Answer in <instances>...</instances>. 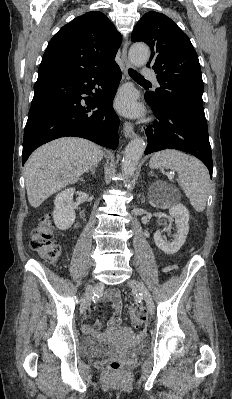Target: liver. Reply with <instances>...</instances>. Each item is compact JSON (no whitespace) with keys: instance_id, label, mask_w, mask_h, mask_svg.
<instances>
[{"instance_id":"1","label":"liver","mask_w":232,"mask_h":399,"mask_svg":"<svg viewBox=\"0 0 232 399\" xmlns=\"http://www.w3.org/2000/svg\"><path fill=\"white\" fill-rule=\"evenodd\" d=\"M102 156L99 146L82 138H60L35 150L25 164L30 205L38 207L68 184H76L84 172L101 162Z\"/></svg>"}]
</instances>
